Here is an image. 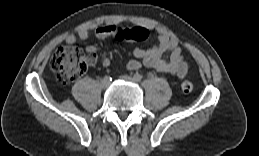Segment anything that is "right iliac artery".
Masks as SVG:
<instances>
[{"label": "right iliac artery", "mask_w": 259, "mask_h": 156, "mask_svg": "<svg viewBox=\"0 0 259 156\" xmlns=\"http://www.w3.org/2000/svg\"><path fill=\"white\" fill-rule=\"evenodd\" d=\"M104 79H105V80H109V81L112 80V78H111L110 76H105Z\"/></svg>", "instance_id": "82829eb1"}]
</instances>
